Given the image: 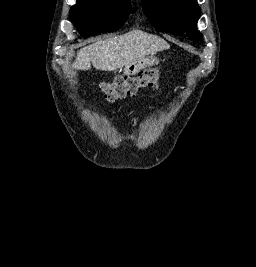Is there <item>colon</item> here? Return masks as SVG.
<instances>
[{"label": "colon", "instance_id": "5ec220e1", "mask_svg": "<svg viewBox=\"0 0 256 267\" xmlns=\"http://www.w3.org/2000/svg\"><path fill=\"white\" fill-rule=\"evenodd\" d=\"M159 85L158 71L139 70L135 77L121 76L110 83L100 86L101 93L107 101H113L126 96H134L143 87L157 88Z\"/></svg>", "mask_w": 256, "mask_h": 267}]
</instances>
